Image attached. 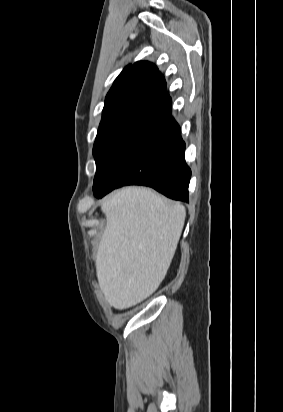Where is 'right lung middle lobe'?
Wrapping results in <instances>:
<instances>
[{
  "label": "right lung middle lobe",
  "instance_id": "obj_1",
  "mask_svg": "<svg viewBox=\"0 0 283 412\" xmlns=\"http://www.w3.org/2000/svg\"><path fill=\"white\" fill-rule=\"evenodd\" d=\"M162 117V113H150L102 119L93 147L96 162L94 183L139 141L146 129Z\"/></svg>",
  "mask_w": 283,
  "mask_h": 412
}]
</instances>
